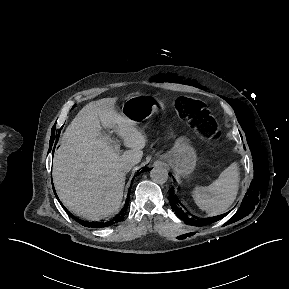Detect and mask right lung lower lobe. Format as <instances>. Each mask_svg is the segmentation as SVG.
<instances>
[{
	"label": "right lung lower lobe",
	"instance_id": "right-lung-lower-lobe-1",
	"mask_svg": "<svg viewBox=\"0 0 289 289\" xmlns=\"http://www.w3.org/2000/svg\"><path fill=\"white\" fill-rule=\"evenodd\" d=\"M144 171H147V169H144L142 171H140L138 174H140L141 172H144ZM129 194L130 192H128V195H127V200H126V203L123 207V209L120 211L119 214H117L112 220H109V221H106V222H85V221H82L78 218H76L74 215H72L64 206V209L66 210V212L74 219L76 220L78 223H80L81 225L85 226V227H92V228H101V227H107V226H110V225H113V224H116L120 221L123 220L124 216H125V210L127 209V206L129 204Z\"/></svg>",
	"mask_w": 289,
	"mask_h": 289
}]
</instances>
